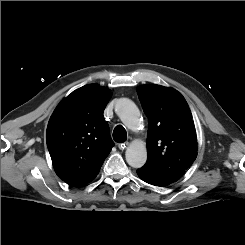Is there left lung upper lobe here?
<instances>
[{
	"instance_id": "5c2ea615",
	"label": "left lung upper lobe",
	"mask_w": 245,
	"mask_h": 245,
	"mask_svg": "<svg viewBox=\"0 0 245 245\" xmlns=\"http://www.w3.org/2000/svg\"><path fill=\"white\" fill-rule=\"evenodd\" d=\"M137 94L148 117L143 168L180 179L197 156L195 125L185 98L160 85L140 86Z\"/></svg>"
}]
</instances>
